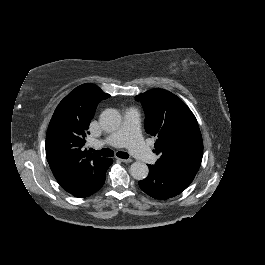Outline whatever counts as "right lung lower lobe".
Masks as SVG:
<instances>
[{"instance_id":"obj_1","label":"right lung lower lobe","mask_w":265,"mask_h":265,"mask_svg":"<svg viewBox=\"0 0 265 265\" xmlns=\"http://www.w3.org/2000/svg\"><path fill=\"white\" fill-rule=\"evenodd\" d=\"M112 162H113V160L112 159H109V166L112 164ZM104 180H105V178H104ZM104 180H102L99 184H98V186H97V188L96 189H94L92 192H89V193H86V194H81V195H79V196H76V197H87V196H90L91 194H93L94 192H96L97 190H99L101 187H102V185L104 184Z\"/></svg>"}]
</instances>
